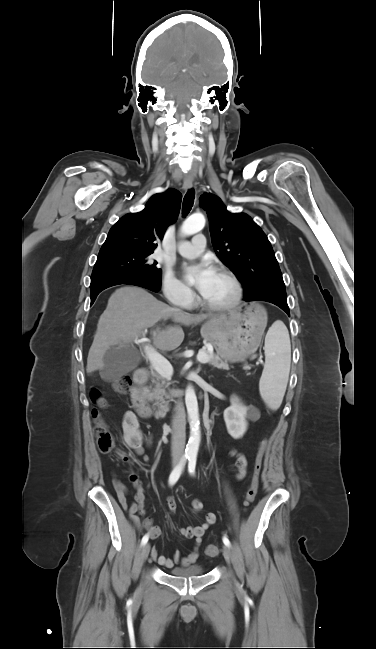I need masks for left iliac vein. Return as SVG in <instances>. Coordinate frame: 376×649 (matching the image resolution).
<instances>
[{
    "label": "left iliac vein",
    "mask_w": 376,
    "mask_h": 649,
    "mask_svg": "<svg viewBox=\"0 0 376 649\" xmlns=\"http://www.w3.org/2000/svg\"><path fill=\"white\" fill-rule=\"evenodd\" d=\"M223 556H224L225 560H226L228 563L231 562V558H232L231 550H230L229 547L226 546V545L223 546ZM235 584H236V586H238V582H237V581L235 582Z\"/></svg>",
    "instance_id": "left-iliac-vein-1"
}]
</instances>
